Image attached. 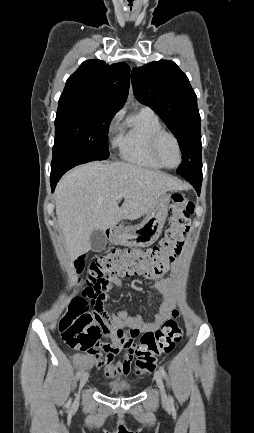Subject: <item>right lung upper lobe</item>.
<instances>
[{"mask_svg": "<svg viewBox=\"0 0 254 433\" xmlns=\"http://www.w3.org/2000/svg\"><path fill=\"white\" fill-rule=\"evenodd\" d=\"M129 83L126 63L108 65L102 60H88L67 79L58 104L96 105L116 113L126 102Z\"/></svg>", "mask_w": 254, "mask_h": 433, "instance_id": "right-lung-upper-lobe-1", "label": "right lung upper lobe"}]
</instances>
